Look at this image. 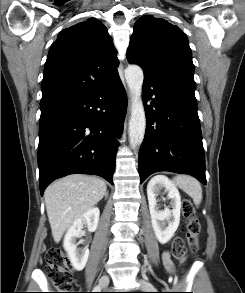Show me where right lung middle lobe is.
Masks as SVG:
<instances>
[{
    "label": "right lung middle lobe",
    "instance_id": "obj_1",
    "mask_svg": "<svg viewBox=\"0 0 245 293\" xmlns=\"http://www.w3.org/2000/svg\"><path fill=\"white\" fill-rule=\"evenodd\" d=\"M54 108H41V116H44L51 112Z\"/></svg>",
    "mask_w": 245,
    "mask_h": 293
}]
</instances>
